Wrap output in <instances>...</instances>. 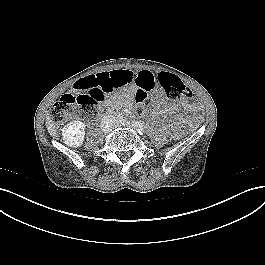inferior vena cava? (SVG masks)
I'll use <instances>...</instances> for the list:
<instances>
[{
	"instance_id": "obj_1",
	"label": "inferior vena cava",
	"mask_w": 265,
	"mask_h": 265,
	"mask_svg": "<svg viewBox=\"0 0 265 265\" xmlns=\"http://www.w3.org/2000/svg\"><path fill=\"white\" fill-rule=\"evenodd\" d=\"M112 121H113V117L111 115L104 116L101 120V128L105 132H108L112 128V124H111Z\"/></svg>"
}]
</instances>
